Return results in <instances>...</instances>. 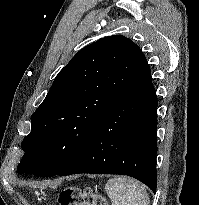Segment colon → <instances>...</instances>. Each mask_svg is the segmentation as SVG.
I'll return each instance as SVG.
<instances>
[{"instance_id": "colon-1", "label": "colon", "mask_w": 199, "mask_h": 205, "mask_svg": "<svg viewBox=\"0 0 199 205\" xmlns=\"http://www.w3.org/2000/svg\"><path fill=\"white\" fill-rule=\"evenodd\" d=\"M59 205H107L103 196L94 194L91 189L80 190L74 187L63 189L58 196Z\"/></svg>"}]
</instances>
